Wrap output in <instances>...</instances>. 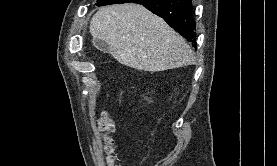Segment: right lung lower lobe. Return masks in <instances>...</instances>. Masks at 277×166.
<instances>
[{"label": "right lung lower lobe", "instance_id": "1", "mask_svg": "<svg viewBox=\"0 0 277 166\" xmlns=\"http://www.w3.org/2000/svg\"><path fill=\"white\" fill-rule=\"evenodd\" d=\"M138 3L162 17L187 41L196 43L195 23L190 0H114L110 4Z\"/></svg>", "mask_w": 277, "mask_h": 166}]
</instances>
